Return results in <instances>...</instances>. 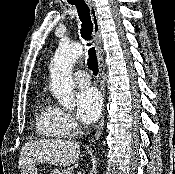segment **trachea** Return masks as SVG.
Segmentation results:
<instances>
[{
  "mask_svg": "<svg viewBox=\"0 0 175 174\" xmlns=\"http://www.w3.org/2000/svg\"><path fill=\"white\" fill-rule=\"evenodd\" d=\"M73 1L74 2L72 4H75L77 11H78L79 19L82 22L81 36L86 41H89L91 39V34L93 31V23H92L91 16H90V9L84 0H73ZM90 45H91L90 43H87V46H90ZM88 55H89V58H88L89 68L93 72V75H97L98 74V62H97V57H96L94 47H91L88 50Z\"/></svg>",
  "mask_w": 175,
  "mask_h": 174,
  "instance_id": "3493384b",
  "label": "trachea"
}]
</instances>
